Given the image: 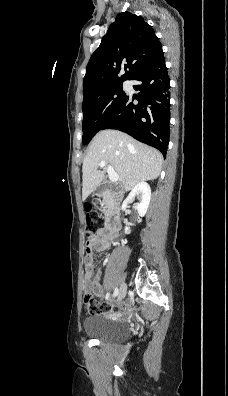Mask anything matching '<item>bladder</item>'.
I'll use <instances>...</instances> for the list:
<instances>
[{
  "label": "bladder",
  "mask_w": 228,
  "mask_h": 396,
  "mask_svg": "<svg viewBox=\"0 0 228 396\" xmlns=\"http://www.w3.org/2000/svg\"><path fill=\"white\" fill-rule=\"evenodd\" d=\"M83 329L87 336L106 342H120L130 335L126 323L102 315L87 317L84 320Z\"/></svg>",
  "instance_id": "31cf9c89"
}]
</instances>
